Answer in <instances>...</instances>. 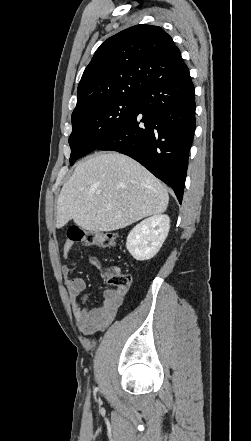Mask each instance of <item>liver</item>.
Wrapping results in <instances>:
<instances>
[{
    "instance_id": "6515ba94",
    "label": "liver",
    "mask_w": 251,
    "mask_h": 441,
    "mask_svg": "<svg viewBox=\"0 0 251 441\" xmlns=\"http://www.w3.org/2000/svg\"><path fill=\"white\" fill-rule=\"evenodd\" d=\"M164 185L132 158L98 153L77 165L63 185L56 227L70 220L85 230L109 232L166 211Z\"/></svg>"
}]
</instances>
